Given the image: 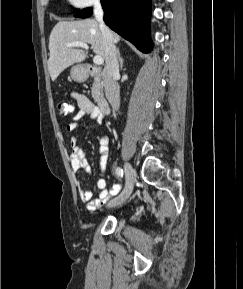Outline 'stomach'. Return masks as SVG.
<instances>
[{"label": "stomach", "instance_id": "obj_1", "mask_svg": "<svg viewBox=\"0 0 243 289\" xmlns=\"http://www.w3.org/2000/svg\"><path fill=\"white\" fill-rule=\"evenodd\" d=\"M70 75L74 81L83 82L87 78V72L82 65H76L71 68Z\"/></svg>", "mask_w": 243, "mask_h": 289}]
</instances>
